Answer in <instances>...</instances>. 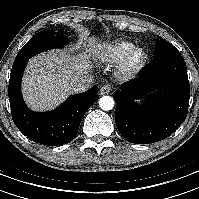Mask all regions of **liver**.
Masks as SVG:
<instances>
[{
	"label": "liver",
	"mask_w": 199,
	"mask_h": 199,
	"mask_svg": "<svg viewBox=\"0 0 199 199\" xmlns=\"http://www.w3.org/2000/svg\"><path fill=\"white\" fill-rule=\"evenodd\" d=\"M103 45L95 37H82L76 44L77 55L53 49L31 58L22 80V93L28 107L47 111L74 93L73 83L88 76L90 53L95 58Z\"/></svg>",
	"instance_id": "6515ba94"
}]
</instances>
